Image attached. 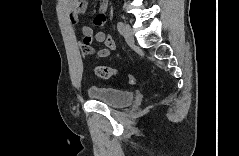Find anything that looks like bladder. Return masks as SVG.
<instances>
[{
  "instance_id": "obj_1",
  "label": "bladder",
  "mask_w": 239,
  "mask_h": 156,
  "mask_svg": "<svg viewBox=\"0 0 239 156\" xmlns=\"http://www.w3.org/2000/svg\"><path fill=\"white\" fill-rule=\"evenodd\" d=\"M87 93L91 99L102 102L113 109H122L130 105L135 96L131 90L110 87H90Z\"/></svg>"
}]
</instances>
